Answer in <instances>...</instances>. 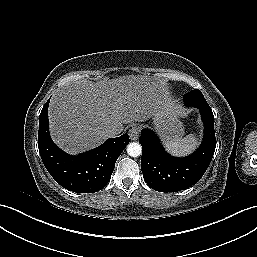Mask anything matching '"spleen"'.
I'll use <instances>...</instances> for the list:
<instances>
[{"mask_svg":"<svg viewBox=\"0 0 257 257\" xmlns=\"http://www.w3.org/2000/svg\"><path fill=\"white\" fill-rule=\"evenodd\" d=\"M198 139L195 135L191 134L184 138H176L167 141V150L175 156H185L191 153L197 146Z\"/></svg>","mask_w":257,"mask_h":257,"instance_id":"obj_1","label":"spleen"}]
</instances>
